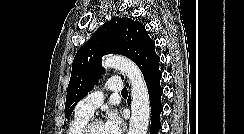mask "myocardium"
<instances>
[{
  "label": "myocardium",
  "mask_w": 244,
  "mask_h": 134,
  "mask_svg": "<svg viewBox=\"0 0 244 134\" xmlns=\"http://www.w3.org/2000/svg\"><path fill=\"white\" fill-rule=\"evenodd\" d=\"M98 124H102V121L99 119L88 120V122L83 126L79 134H91L93 128Z\"/></svg>",
  "instance_id": "myocardium-1"
}]
</instances>
